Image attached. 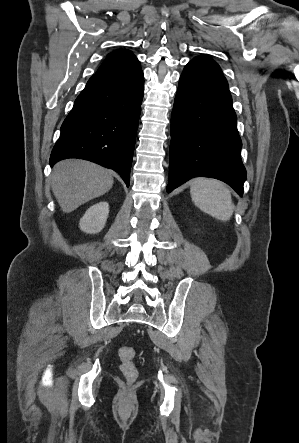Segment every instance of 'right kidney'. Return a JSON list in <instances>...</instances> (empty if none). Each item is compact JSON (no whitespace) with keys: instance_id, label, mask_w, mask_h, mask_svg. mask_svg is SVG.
I'll return each instance as SVG.
<instances>
[{"instance_id":"right-kidney-1","label":"right kidney","mask_w":299,"mask_h":443,"mask_svg":"<svg viewBox=\"0 0 299 443\" xmlns=\"http://www.w3.org/2000/svg\"><path fill=\"white\" fill-rule=\"evenodd\" d=\"M108 213L109 204L107 202H99L91 206L80 219V229L89 234L100 232L105 226Z\"/></svg>"}]
</instances>
